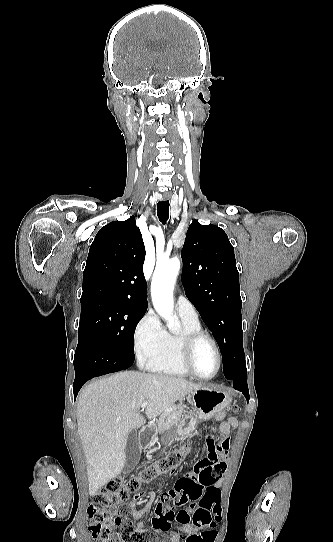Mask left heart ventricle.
<instances>
[{"mask_svg": "<svg viewBox=\"0 0 333 542\" xmlns=\"http://www.w3.org/2000/svg\"><path fill=\"white\" fill-rule=\"evenodd\" d=\"M192 366L197 373L203 376H210L216 371L217 357L209 342L202 341L195 347Z\"/></svg>", "mask_w": 333, "mask_h": 542, "instance_id": "left-heart-ventricle-1", "label": "left heart ventricle"}]
</instances>
